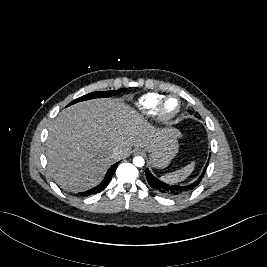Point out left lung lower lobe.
I'll return each instance as SVG.
<instances>
[{
    "instance_id": "obj_1",
    "label": "left lung lower lobe",
    "mask_w": 267,
    "mask_h": 267,
    "mask_svg": "<svg viewBox=\"0 0 267 267\" xmlns=\"http://www.w3.org/2000/svg\"><path fill=\"white\" fill-rule=\"evenodd\" d=\"M207 167V165H206ZM206 167L204 169V171L202 172L201 176L194 181L193 183L187 184V185H170L167 184L163 181H161L160 179H158L157 177H155L150 171L149 169L145 170V174H146V179L149 183V185L156 190L157 192H159L162 195L165 196H169V197H177V196H182L185 195L189 192H191L195 187L198 186V184L200 183Z\"/></svg>"
}]
</instances>
